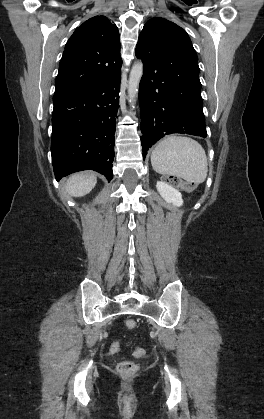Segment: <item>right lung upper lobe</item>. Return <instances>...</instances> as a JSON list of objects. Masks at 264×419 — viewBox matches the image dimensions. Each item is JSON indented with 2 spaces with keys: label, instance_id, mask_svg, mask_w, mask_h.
<instances>
[{
  "label": "right lung upper lobe",
  "instance_id": "right-lung-upper-lobe-1",
  "mask_svg": "<svg viewBox=\"0 0 264 419\" xmlns=\"http://www.w3.org/2000/svg\"><path fill=\"white\" fill-rule=\"evenodd\" d=\"M119 31L105 16H95L75 30L66 43L54 94L105 82L121 70Z\"/></svg>",
  "mask_w": 264,
  "mask_h": 419
}]
</instances>
